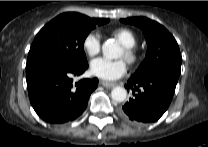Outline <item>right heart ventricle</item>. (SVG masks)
Returning a JSON list of instances; mask_svg holds the SVG:
<instances>
[{
	"instance_id": "right-heart-ventricle-1",
	"label": "right heart ventricle",
	"mask_w": 208,
	"mask_h": 147,
	"mask_svg": "<svg viewBox=\"0 0 208 147\" xmlns=\"http://www.w3.org/2000/svg\"><path fill=\"white\" fill-rule=\"evenodd\" d=\"M113 35L124 47H133L137 41L135 34L127 28H118L113 31Z\"/></svg>"
}]
</instances>
